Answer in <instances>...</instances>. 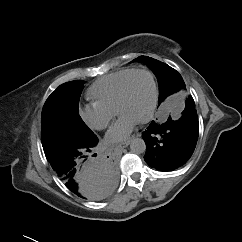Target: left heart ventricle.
Segmentation results:
<instances>
[{"label":"left heart ventricle","instance_id":"obj_1","mask_svg":"<svg viewBox=\"0 0 242 242\" xmlns=\"http://www.w3.org/2000/svg\"><path fill=\"white\" fill-rule=\"evenodd\" d=\"M152 102V83L147 74L134 75L128 85L127 94L119 114L127 115L137 122L144 118Z\"/></svg>","mask_w":242,"mask_h":242}]
</instances>
